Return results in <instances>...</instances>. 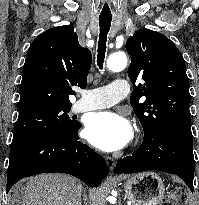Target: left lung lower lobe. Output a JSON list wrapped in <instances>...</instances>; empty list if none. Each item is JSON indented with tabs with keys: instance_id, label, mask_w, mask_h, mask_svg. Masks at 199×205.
<instances>
[{
	"instance_id": "left-lung-lower-lobe-1",
	"label": "left lung lower lobe",
	"mask_w": 199,
	"mask_h": 205,
	"mask_svg": "<svg viewBox=\"0 0 199 205\" xmlns=\"http://www.w3.org/2000/svg\"><path fill=\"white\" fill-rule=\"evenodd\" d=\"M195 161L191 126L173 125L157 135H144L132 156L119 159L115 174L159 170L176 174L193 192Z\"/></svg>"
}]
</instances>
